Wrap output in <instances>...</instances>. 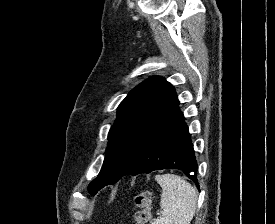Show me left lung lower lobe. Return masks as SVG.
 Wrapping results in <instances>:
<instances>
[{
	"label": "left lung lower lobe",
	"mask_w": 275,
	"mask_h": 224,
	"mask_svg": "<svg viewBox=\"0 0 275 224\" xmlns=\"http://www.w3.org/2000/svg\"><path fill=\"white\" fill-rule=\"evenodd\" d=\"M166 168L183 171L199 188L198 164L189 130L179 105L162 120L148 137L123 176L150 173ZM118 180L113 181L111 178L103 180L92 195L105 185L113 184Z\"/></svg>",
	"instance_id": "1"
}]
</instances>
